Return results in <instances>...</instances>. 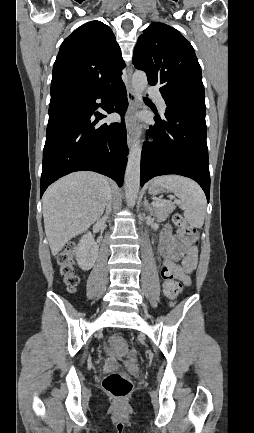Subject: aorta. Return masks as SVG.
<instances>
[{
	"mask_svg": "<svg viewBox=\"0 0 254 433\" xmlns=\"http://www.w3.org/2000/svg\"><path fill=\"white\" fill-rule=\"evenodd\" d=\"M148 81L145 72L135 71L132 76V87L136 97L141 100L143 92L147 87ZM140 128L137 129L136 138L130 148L128 162L125 173V197L127 205L133 207L138 197L140 188V161L142 146L139 139Z\"/></svg>",
	"mask_w": 254,
	"mask_h": 433,
	"instance_id": "1",
	"label": "aorta"
}]
</instances>
